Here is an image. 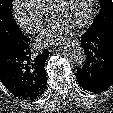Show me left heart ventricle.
Returning a JSON list of instances; mask_svg holds the SVG:
<instances>
[{"label": "left heart ventricle", "instance_id": "left-heart-ventricle-1", "mask_svg": "<svg viewBox=\"0 0 113 113\" xmlns=\"http://www.w3.org/2000/svg\"><path fill=\"white\" fill-rule=\"evenodd\" d=\"M88 2L89 0H62L52 16L53 21L73 28L85 17Z\"/></svg>", "mask_w": 113, "mask_h": 113}]
</instances>
